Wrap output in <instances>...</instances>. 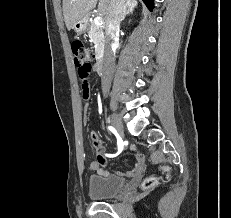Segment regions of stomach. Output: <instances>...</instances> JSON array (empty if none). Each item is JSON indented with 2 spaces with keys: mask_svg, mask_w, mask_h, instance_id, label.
<instances>
[{
  "mask_svg": "<svg viewBox=\"0 0 231 218\" xmlns=\"http://www.w3.org/2000/svg\"><path fill=\"white\" fill-rule=\"evenodd\" d=\"M73 29L76 33L78 34H82L86 31L87 29V19H81L79 21H77L74 25H73Z\"/></svg>",
  "mask_w": 231,
  "mask_h": 218,
  "instance_id": "1",
  "label": "stomach"
}]
</instances>
